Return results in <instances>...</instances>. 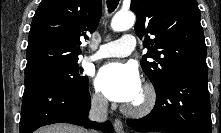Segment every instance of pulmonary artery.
Masks as SVG:
<instances>
[{
	"mask_svg": "<svg viewBox=\"0 0 221 133\" xmlns=\"http://www.w3.org/2000/svg\"><path fill=\"white\" fill-rule=\"evenodd\" d=\"M135 47V38L130 34H126L118 41H112L101 45L97 53L90 56L89 59L99 60L110 57H125L128 56Z\"/></svg>",
	"mask_w": 221,
	"mask_h": 133,
	"instance_id": "1",
	"label": "pulmonary artery"
}]
</instances>
